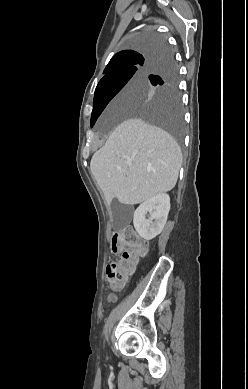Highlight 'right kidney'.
I'll list each match as a JSON object with an SVG mask.
<instances>
[{
    "label": "right kidney",
    "mask_w": 248,
    "mask_h": 389,
    "mask_svg": "<svg viewBox=\"0 0 248 389\" xmlns=\"http://www.w3.org/2000/svg\"><path fill=\"white\" fill-rule=\"evenodd\" d=\"M170 210V197L168 194H157L144 201L135 210L133 224L138 234L149 241L161 233L166 224ZM148 214V218L146 215Z\"/></svg>",
    "instance_id": "ca27d5eb"
}]
</instances>
